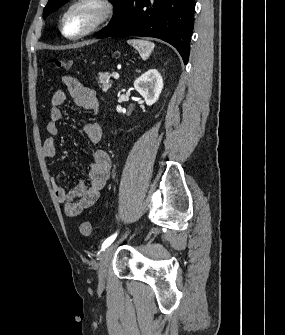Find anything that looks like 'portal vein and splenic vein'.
<instances>
[{
  "label": "portal vein and splenic vein",
  "mask_w": 285,
  "mask_h": 335,
  "mask_svg": "<svg viewBox=\"0 0 285 335\" xmlns=\"http://www.w3.org/2000/svg\"><path fill=\"white\" fill-rule=\"evenodd\" d=\"M114 78H115V80H118L119 74H117V72H116V74H114Z\"/></svg>",
  "instance_id": "obj_1"
}]
</instances>
